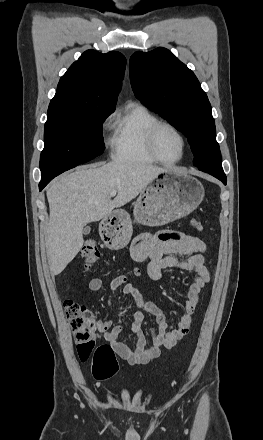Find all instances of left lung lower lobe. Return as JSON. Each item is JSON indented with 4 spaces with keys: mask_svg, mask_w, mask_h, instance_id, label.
Here are the masks:
<instances>
[{
    "mask_svg": "<svg viewBox=\"0 0 263 440\" xmlns=\"http://www.w3.org/2000/svg\"><path fill=\"white\" fill-rule=\"evenodd\" d=\"M209 174H211L214 177L218 178L219 180H221L226 185L227 178H226V175L224 174V172L223 173H209Z\"/></svg>",
    "mask_w": 263,
    "mask_h": 440,
    "instance_id": "0a47b994",
    "label": "left lung lower lobe"
}]
</instances>
